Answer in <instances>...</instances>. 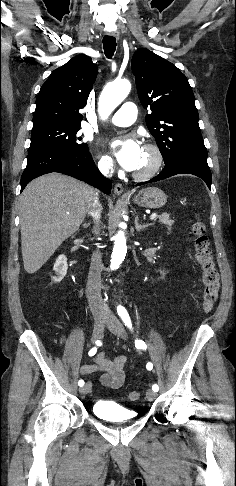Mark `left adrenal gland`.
Segmentation results:
<instances>
[{
    "label": "left adrenal gland",
    "mask_w": 236,
    "mask_h": 486,
    "mask_svg": "<svg viewBox=\"0 0 236 486\" xmlns=\"http://www.w3.org/2000/svg\"><path fill=\"white\" fill-rule=\"evenodd\" d=\"M151 225H152L151 223L150 224H144V225L139 224V218H138V216H136V218H135V228H136V230L138 232H140L141 230H143V229H145V228H147V227H149Z\"/></svg>",
    "instance_id": "a2214340"
}]
</instances>
